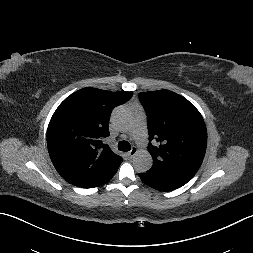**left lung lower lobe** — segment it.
Returning a JSON list of instances; mask_svg holds the SVG:
<instances>
[{
	"mask_svg": "<svg viewBox=\"0 0 253 253\" xmlns=\"http://www.w3.org/2000/svg\"><path fill=\"white\" fill-rule=\"evenodd\" d=\"M139 177L145 184L159 191L174 190L187 183L179 179L155 176L148 173H140Z\"/></svg>",
	"mask_w": 253,
	"mask_h": 253,
	"instance_id": "1",
	"label": "left lung lower lobe"
}]
</instances>
